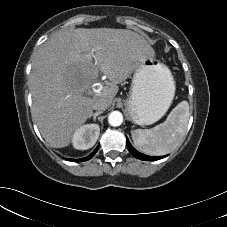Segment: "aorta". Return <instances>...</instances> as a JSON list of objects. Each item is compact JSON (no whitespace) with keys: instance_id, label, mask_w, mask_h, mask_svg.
<instances>
[{"instance_id":"obj_1","label":"aorta","mask_w":227,"mask_h":227,"mask_svg":"<svg viewBox=\"0 0 227 227\" xmlns=\"http://www.w3.org/2000/svg\"><path fill=\"white\" fill-rule=\"evenodd\" d=\"M108 122L111 126H120L123 122V115L119 111H113L108 116Z\"/></svg>"}]
</instances>
